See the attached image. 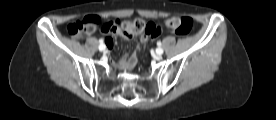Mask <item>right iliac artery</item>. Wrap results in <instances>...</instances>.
Here are the masks:
<instances>
[{
  "instance_id": "right-iliac-artery-1",
  "label": "right iliac artery",
  "mask_w": 276,
  "mask_h": 120,
  "mask_svg": "<svg viewBox=\"0 0 276 120\" xmlns=\"http://www.w3.org/2000/svg\"><path fill=\"white\" fill-rule=\"evenodd\" d=\"M99 43H100V45H103V44H104V40H103V39H100V40H99Z\"/></svg>"
}]
</instances>
